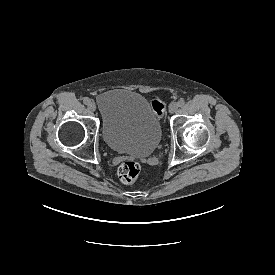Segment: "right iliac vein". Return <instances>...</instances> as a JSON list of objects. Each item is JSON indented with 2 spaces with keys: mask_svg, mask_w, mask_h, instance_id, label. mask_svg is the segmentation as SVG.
<instances>
[{
  "mask_svg": "<svg viewBox=\"0 0 275 275\" xmlns=\"http://www.w3.org/2000/svg\"><path fill=\"white\" fill-rule=\"evenodd\" d=\"M89 109L92 110V111H95L96 110V104L94 102H91L89 104Z\"/></svg>",
  "mask_w": 275,
  "mask_h": 275,
  "instance_id": "right-iliac-vein-1",
  "label": "right iliac vein"
}]
</instances>
